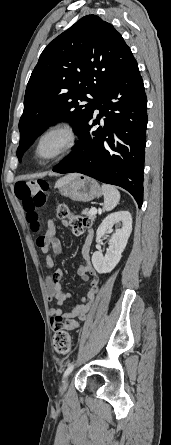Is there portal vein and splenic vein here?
<instances>
[{
	"instance_id": "obj_1",
	"label": "portal vein and splenic vein",
	"mask_w": 171,
	"mask_h": 445,
	"mask_svg": "<svg viewBox=\"0 0 171 445\" xmlns=\"http://www.w3.org/2000/svg\"><path fill=\"white\" fill-rule=\"evenodd\" d=\"M90 213L95 215L97 213V209L96 208H91Z\"/></svg>"
}]
</instances>
